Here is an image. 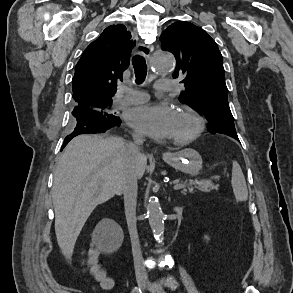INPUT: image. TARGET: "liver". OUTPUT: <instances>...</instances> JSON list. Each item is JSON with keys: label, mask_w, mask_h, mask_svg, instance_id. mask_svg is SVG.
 I'll list each match as a JSON object with an SVG mask.
<instances>
[{"label": "liver", "mask_w": 293, "mask_h": 293, "mask_svg": "<svg viewBox=\"0 0 293 293\" xmlns=\"http://www.w3.org/2000/svg\"><path fill=\"white\" fill-rule=\"evenodd\" d=\"M128 158L127 144L117 137L79 135L66 146L54 174L52 200L57 242L67 258L93 210L122 192L121 174ZM146 165L145 155L134 158L138 179Z\"/></svg>", "instance_id": "liver-1"}]
</instances>
